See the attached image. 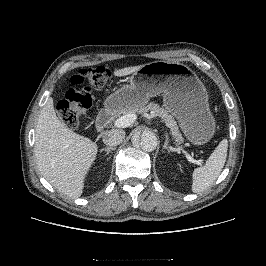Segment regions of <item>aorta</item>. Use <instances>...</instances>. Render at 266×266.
Here are the masks:
<instances>
[{
    "label": "aorta",
    "mask_w": 266,
    "mask_h": 266,
    "mask_svg": "<svg viewBox=\"0 0 266 266\" xmlns=\"http://www.w3.org/2000/svg\"><path fill=\"white\" fill-rule=\"evenodd\" d=\"M133 144L139 145L145 152H152L158 145V139L153 131L145 130L139 136L133 138Z\"/></svg>",
    "instance_id": "1"
}]
</instances>
